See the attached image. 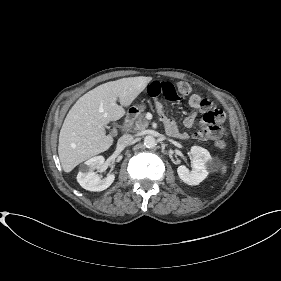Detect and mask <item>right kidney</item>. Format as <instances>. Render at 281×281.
I'll list each match as a JSON object with an SVG mask.
<instances>
[{"instance_id":"ca27d5eb","label":"right kidney","mask_w":281,"mask_h":281,"mask_svg":"<svg viewBox=\"0 0 281 281\" xmlns=\"http://www.w3.org/2000/svg\"><path fill=\"white\" fill-rule=\"evenodd\" d=\"M103 156L93 157L80 166L77 175V181L80 186L89 191H103L107 189L115 179L114 173H110L107 177L100 179L95 169H100L104 164Z\"/></svg>"}]
</instances>
